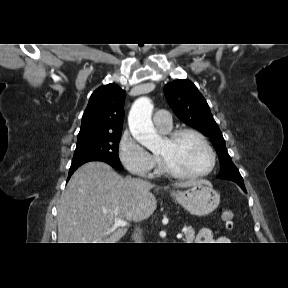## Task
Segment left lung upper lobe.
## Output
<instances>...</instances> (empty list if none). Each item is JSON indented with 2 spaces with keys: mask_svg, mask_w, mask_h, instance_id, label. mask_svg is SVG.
Returning <instances> with one entry per match:
<instances>
[{
  "mask_svg": "<svg viewBox=\"0 0 288 288\" xmlns=\"http://www.w3.org/2000/svg\"><path fill=\"white\" fill-rule=\"evenodd\" d=\"M164 93L180 120L210 138L220 159L221 170L217 177L244 185L243 178L225 147L223 135L197 87L190 80H176L165 85Z\"/></svg>",
  "mask_w": 288,
  "mask_h": 288,
  "instance_id": "5c2ea615",
  "label": "left lung upper lobe"
}]
</instances>
